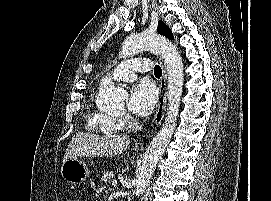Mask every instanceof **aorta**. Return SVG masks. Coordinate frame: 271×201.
I'll return each mask as SVG.
<instances>
[{
    "mask_svg": "<svg viewBox=\"0 0 271 201\" xmlns=\"http://www.w3.org/2000/svg\"><path fill=\"white\" fill-rule=\"evenodd\" d=\"M144 50L159 54L165 61L168 75V108L165 122L149 144L139 169L134 191L137 197L145 192L157 162L172 138L177 123L184 80L182 58L175 45L163 36L149 32L130 35L123 42L120 54L125 58ZM126 97L127 93L123 89L104 84L99 89L96 105L100 109L121 106Z\"/></svg>",
    "mask_w": 271,
    "mask_h": 201,
    "instance_id": "aorta-1",
    "label": "aorta"
}]
</instances>
